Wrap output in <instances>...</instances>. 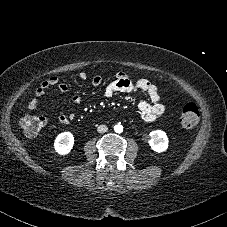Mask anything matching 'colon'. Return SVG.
I'll return each mask as SVG.
<instances>
[{
    "label": "colon",
    "instance_id": "colon-1",
    "mask_svg": "<svg viewBox=\"0 0 227 227\" xmlns=\"http://www.w3.org/2000/svg\"><path fill=\"white\" fill-rule=\"evenodd\" d=\"M199 120V111L194 103L186 104L180 115V123L185 128L194 127ZM46 119L38 114H25L20 119V125L28 136L37 135L45 126Z\"/></svg>",
    "mask_w": 227,
    "mask_h": 227
}]
</instances>
